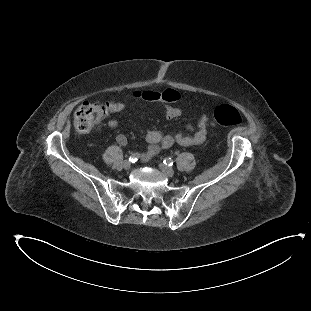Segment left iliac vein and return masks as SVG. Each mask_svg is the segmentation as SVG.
Masks as SVG:
<instances>
[{"label": "left iliac vein", "instance_id": "obj_1", "mask_svg": "<svg viewBox=\"0 0 311 311\" xmlns=\"http://www.w3.org/2000/svg\"><path fill=\"white\" fill-rule=\"evenodd\" d=\"M159 168L165 175L169 177H172L174 175V170L165 164L160 163Z\"/></svg>", "mask_w": 311, "mask_h": 311}]
</instances>
